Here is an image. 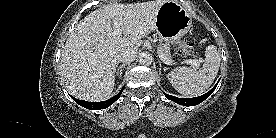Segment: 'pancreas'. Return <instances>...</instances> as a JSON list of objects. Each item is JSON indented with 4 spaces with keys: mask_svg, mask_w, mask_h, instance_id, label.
<instances>
[{
    "mask_svg": "<svg viewBox=\"0 0 276 138\" xmlns=\"http://www.w3.org/2000/svg\"><path fill=\"white\" fill-rule=\"evenodd\" d=\"M162 40H159L158 51L163 53L169 60H172L170 53V46L168 43H162Z\"/></svg>",
    "mask_w": 276,
    "mask_h": 138,
    "instance_id": "pancreas-1",
    "label": "pancreas"
}]
</instances>
